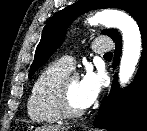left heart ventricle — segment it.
I'll use <instances>...</instances> for the list:
<instances>
[{
    "instance_id": "left-heart-ventricle-1",
    "label": "left heart ventricle",
    "mask_w": 147,
    "mask_h": 131,
    "mask_svg": "<svg viewBox=\"0 0 147 131\" xmlns=\"http://www.w3.org/2000/svg\"><path fill=\"white\" fill-rule=\"evenodd\" d=\"M68 100L75 109H82L79 99V78L72 80L68 85Z\"/></svg>"
}]
</instances>
